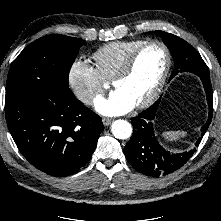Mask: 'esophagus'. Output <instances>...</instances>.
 I'll use <instances>...</instances> for the list:
<instances>
[{"label": "esophagus", "mask_w": 221, "mask_h": 221, "mask_svg": "<svg viewBox=\"0 0 221 221\" xmlns=\"http://www.w3.org/2000/svg\"><path fill=\"white\" fill-rule=\"evenodd\" d=\"M112 121H113V119H111V118H103L102 119V122L105 126L110 125Z\"/></svg>", "instance_id": "34e87169"}]
</instances>
